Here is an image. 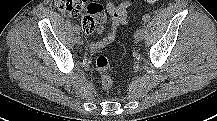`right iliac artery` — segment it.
<instances>
[{
    "label": "right iliac artery",
    "instance_id": "1",
    "mask_svg": "<svg viewBox=\"0 0 217 121\" xmlns=\"http://www.w3.org/2000/svg\"><path fill=\"white\" fill-rule=\"evenodd\" d=\"M73 30H74V32H75L76 34H80V27H79L78 25H75V26L73 27Z\"/></svg>",
    "mask_w": 217,
    "mask_h": 121
}]
</instances>
